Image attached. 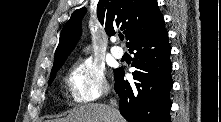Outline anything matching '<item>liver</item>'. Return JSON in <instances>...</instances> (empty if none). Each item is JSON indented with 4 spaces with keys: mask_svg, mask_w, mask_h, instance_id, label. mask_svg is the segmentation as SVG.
I'll list each match as a JSON object with an SVG mask.
<instances>
[{
    "mask_svg": "<svg viewBox=\"0 0 221 122\" xmlns=\"http://www.w3.org/2000/svg\"><path fill=\"white\" fill-rule=\"evenodd\" d=\"M56 122H125L119 112L114 116L111 107L104 104H88L73 109L66 118Z\"/></svg>",
    "mask_w": 221,
    "mask_h": 122,
    "instance_id": "1",
    "label": "liver"
}]
</instances>
